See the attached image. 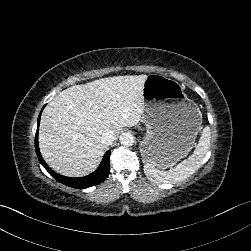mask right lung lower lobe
<instances>
[{"mask_svg":"<svg viewBox=\"0 0 251 251\" xmlns=\"http://www.w3.org/2000/svg\"><path fill=\"white\" fill-rule=\"evenodd\" d=\"M41 112H40V115L38 117L37 131H36V135H35V150H36V154L38 156V159H39L40 163L50 173V175L52 177H54L58 182H60L62 184H65L67 186L73 187V188H77V189L88 188V187L95 186V185H98L101 182H103L107 178V176L109 174V170H110V159H109L110 158V153H111L110 150L106 152L100 166L96 169V171L93 172L92 174L88 175V176H85V177L69 178V177L59 175V174L55 173L45 163V161L41 157V154H40V151H39V146H38V129H39Z\"/></svg>","mask_w":251,"mask_h":251,"instance_id":"1","label":"right lung lower lobe"}]
</instances>
